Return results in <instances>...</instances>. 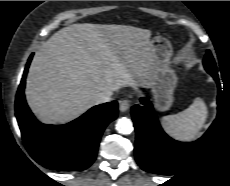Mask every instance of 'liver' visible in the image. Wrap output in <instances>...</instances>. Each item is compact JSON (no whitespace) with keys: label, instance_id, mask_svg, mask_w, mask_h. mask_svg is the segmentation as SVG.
I'll list each match as a JSON object with an SVG mask.
<instances>
[{"label":"liver","instance_id":"obj_1","mask_svg":"<svg viewBox=\"0 0 230 186\" xmlns=\"http://www.w3.org/2000/svg\"><path fill=\"white\" fill-rule=\"evenodd\" d=\"M151 32L128 25L73 24L35 53L26 100L43 122L68 123L96 105L100 93L145 87L156 66Z\"/></svg>","mask_w":230,"mask_h":186}]
</instances>
